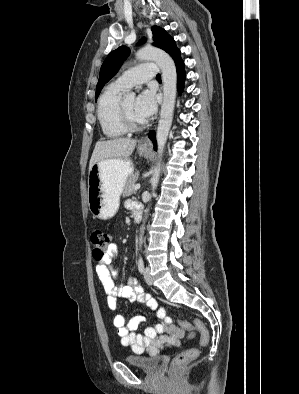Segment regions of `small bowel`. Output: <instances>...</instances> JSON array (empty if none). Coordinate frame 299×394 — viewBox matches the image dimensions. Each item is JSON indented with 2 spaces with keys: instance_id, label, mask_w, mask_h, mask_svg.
<instances>
[{
  "instance_id": "obj_1",
  "label": "small bowel",
  "mask_w": 299,
  "mask_h": 394,
  "mask_svg": "<svg viewBox=\"0 0 299 394\" xmlns=\"http://www.w3.org/2000/svg\"><path fill=\"white\" fill-rule=\"evenodd\" d=\"M126 206L135 209L136 206L127 202ZM117 245L111 244L107 254L97 263L96 273L107 293V303L111 310L117 308L118 298H124L130 302H138L146 305L156 312L160 322L146 327L142 333L136 332L145 321L144 316L137 315L126 322L125 317L118 314L113 319V325L118 330L121 344L130 347L137 353L148 352L155 355L163 348L177 347L185 335L184 329L175 325L166 315L164 307L139 284L135 277L122 280L117 272L111 268L117 255Z\"/></svg>"
}]
</instances>
